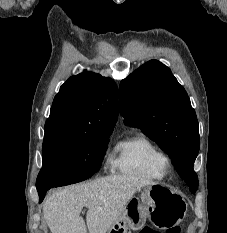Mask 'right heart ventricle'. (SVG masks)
<instances>
[{"mask_svg":"<svg viewBox=\"0 0 227 233\" xmlns=\"http://www.w3.org/2000/svg\"><path fill=\"white\" fill-rule=\"evenodd\" d=\"M166 154L145 134L135 133L119 141L115 146L112 168L117 172L146 180L165 177Z\"/></svg>","mask_w":227,"mask_h":233,"instance_id":"1","label":"right heart ventricle"}]
</instances>
